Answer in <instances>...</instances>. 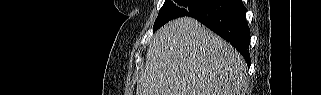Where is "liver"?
I'll return each mask as SVG.
<instances>
[{"label": "liver", "instance_id": "6515ba94", "mask_svg": "<svg viewBox=\"0 0 321 95\" xmlns=\"http://www.w3.org/2000/svg\"><path fill=\"white\" fill-rule=\"evenodd\" d=\"M246 71L230 44L197 20L181 17L155 33L136 95H239Z\"/></svg>", "mask_w": 321, "mask_h": 95}]
</instances>
